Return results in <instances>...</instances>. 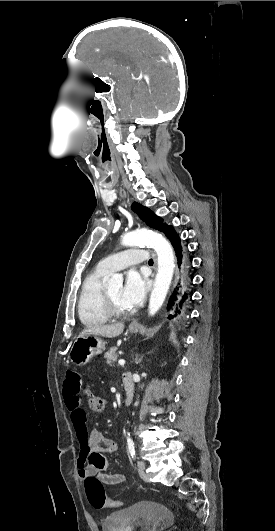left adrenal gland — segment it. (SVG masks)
Listing matches in <instances>:
<instances>
[{"instance_id":"left-adrenal-gland-1","label":"left adrenal gland","mask_w":275,"mask_h":531,"mask_svg":"<svg viewBox=\"0 0 275 531\" xmlns=\"http://www.w3.org/2000/svg\"><path fill=\"white\" fill-rule=\"evenodd\" d=\"M151 353H152V351H151ZM147 355H148V353H147ZM141 361H142V359H136V361H135L136 365H138V363H141Z\"/></svg>"}]
</instances>
